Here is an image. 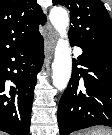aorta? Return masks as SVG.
Listing matches in <instances>:
<instances>
[{"label": "aorta", "instance_id": "762f6f07", "mask_svg": "<svg viewBox=\"0 0 112 135\" xmlns=\"http://www.w3.org/2000/svg\"><path fill=\"white\" fill-rule=\"evenodd\" d=\"M49 18L60 36L52 63V80L54 87L62 91L67 87L72 71L71 48L67 37L69 16L64 8L54 7L50 11Z\"/></svg>", "mask_w": 112, "mask_h": 135}]
</instances>
